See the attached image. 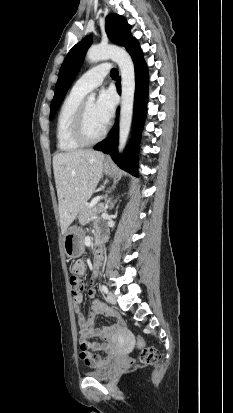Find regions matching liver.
<instances>
[{
  "label": "liver",
  "instance_id": "6515ba94",
  "mask_svg": "<svg viewBox=\"0 0 233 413\" xmlns=\"http://www.w3.org/2000/svg\"><path fill=\"white\" fill-rule=\"evenodd\" d=\"M104 154L94 150L57 153L53 157L61 230L65 233L92 196L102 177Z\"/></svg>",
  "mask_w": 233,
  "mask_h": 413
}]
</instances>
